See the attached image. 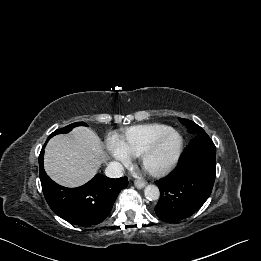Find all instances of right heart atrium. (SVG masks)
<instances>
[{
	"instance_id": "d8ad5b80",
	"label": "right heart atrium",
	"mask_w": 261,
	"mask_h": 261,
	"mask_svg": "<svg viewBox=\"0 0 261 261\" xmlns=\"http://www.w3.org/2000/svg\"><path fill=\"white\" fill-rule=\"evenodd\" d=\"M107 149L110 155L117 161L126 163L129 161V156L118 144L117 140L113 139L108 143Z\"/></svg>"
}]
</instances>
